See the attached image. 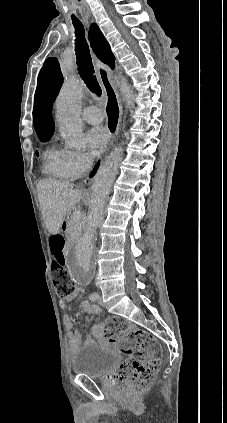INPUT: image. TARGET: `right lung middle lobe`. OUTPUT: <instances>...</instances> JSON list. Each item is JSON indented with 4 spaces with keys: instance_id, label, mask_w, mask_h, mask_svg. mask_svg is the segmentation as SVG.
<instances>
[{
    "instance_id": "dd1d6c3e",
    "label": "right lung middle lobe",
    "mask_w": 227,
    "mask_h": 423,
    "mask_svg": "<svg viewBox=\"0 0 227 423\" xmlns=\"http://www.w3.org/2000/svg\"><path fill=\"white\" fill-rule=\"evenodd\" d=\"M41 140L46 141L47 139L50 138V136H43V137H39ZM36 154L38 155V153L36 152Z\"/></svg>"
}]
</instances>
